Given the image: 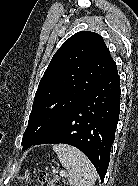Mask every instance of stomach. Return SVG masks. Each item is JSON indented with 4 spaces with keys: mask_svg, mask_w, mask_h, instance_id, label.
<instances>
[{
    "mask_svg": "<svg viewBox=\"0 0 138 186\" xmlns=\"http://www.w3.org/2000/svg\"><path fill=\"white\" fill-rule=\"evenodd\" d=\"M18 179H19V180H22V179H24V177H21V176H20V177H18Z\"/></svg>",
    "mask_w": 138,
    "mask_h": 186,
    "instance_id": "1",
    "label": "stomach"
}]
</instances>
